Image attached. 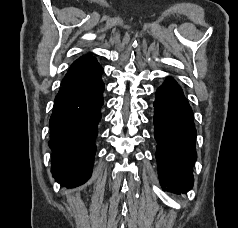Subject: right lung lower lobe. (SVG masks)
I'll use <instances>...</instances> for the list:
<instances>
[{"label":"right lung lower lobe","mask_w":238,"mask_h":228,"mask_svg":"<svg viewBox=\"0 0 238 228\" xmlns=\"http://www.w3.org/2000/svg\"><path fill=\"white\" fill-rule=\"evenodd\" d=\"M101 74L61 86L55 98L50 118L51 172L66 187L83 184L92 173L97 124L104 103Z\"/></svg>","instance_id":"right-lung-lower-lobe-1"}]
</instances>
